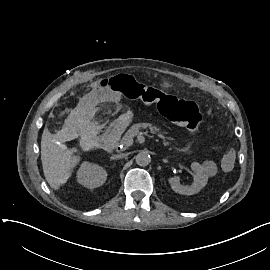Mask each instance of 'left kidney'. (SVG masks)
<instances>
[{
  "instance_id": "left-kidney-1",
  "label": "left kidney",
  "mask_w": 270,
  "mask_h": 270,
  "mask_svg": "<svg viewBox=\"0 0 270 270\" xmlns=\"http://www.w3.org/2000/svg\"><path fill=\"white\" fill-rule=\"evenodd\" d=\"M191 169L196 172L194 176V183L191 186H183L180 184V178L178 176L169 179L171 188L179 194L193 195L198 193L208 181V176L203 172L202 166L198 162L191 164Z\"/></svg>"
}]
</instances>
